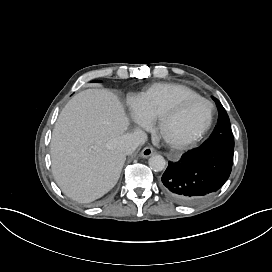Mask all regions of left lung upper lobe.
Wrapping results in <instances>:
<instances>
[{"label": "left lung upper lobe", "mask_w": 272, "mask_h": 272, "mask_svg": "<svg viewBox=\"0 0 272 272\" xmlns=\"http://www.w3.org/2000/svg\"><path fill=\"white\" fill-rule=\"evenodd\" d=\"M219 112L218 125L212 136L203 143L202 147H224L234 149V137L230 127V120L220 101L214 98Z\"/></svg>", "instance_id": "left-lung-upper-lobe-1"}]
</instances>
